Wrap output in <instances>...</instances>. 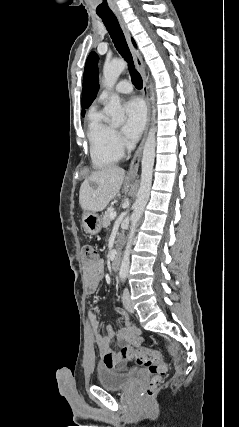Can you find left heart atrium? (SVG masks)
Here are the masks:
<instances>
[{"label": "left heart atrium", "mask_w": 239, "mask_h": 427, "mask_svg": "<svg viewBox=\"0 0 239 427\" xmlns=\"http://www.w3.org/2000/svg\"><path fill=\"white\" fill-rule=\"evenodd\" d=\"M126 121L123 127V133L126 139L134 142L142 133L145 121L146 111L143 103L139 99H132L125 104Z\"/></svg>", "instance_id": "39dd6f15"}]
</instances>
